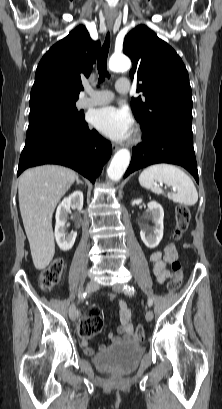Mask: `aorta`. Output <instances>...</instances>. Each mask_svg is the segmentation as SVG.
I'll list each match as a JSON object with an SVG mask.
<instances>
[{
    "label": "aorta",
    "instance_id": "obj_1",
    "mask_svg": "<svg viewBox=\"0 0 222 409\" xmlns=\"http://www.w3.org/2000/svg\"><path fill=\"white\" fill-rule=\"evenodd\" d=\"M131 62L124 55H114L109 60V69L114 72L127 71ZM130 163V152L127 149L119 150L113 157L108 169L107 176L117 182L121 179Z\"/></svg>",
    "mask_w": 222,
    "mask_h": 409
}]
</instances>
